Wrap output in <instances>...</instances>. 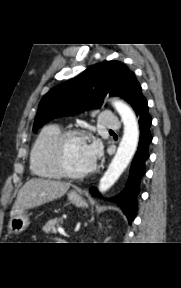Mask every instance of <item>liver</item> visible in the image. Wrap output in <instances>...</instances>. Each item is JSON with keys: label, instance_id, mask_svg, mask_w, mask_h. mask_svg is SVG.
<instances>
[{"label": "liver", "instance_id": "6515ba94", "mask_svg": "<svg viewBox=\"0 0 181 288\" xmlns=\"http://www.w3.org/2000/svg\"><path fill=\"white\" fill-rule=\"evenodd\" d=\"M69 187L70 183L42 178L30 179L19 190L10 216L13 217L26 209L58 199L68 191Z\"/></svg>", "mask_w": 181, "mask_h": 288}]
</instances>
